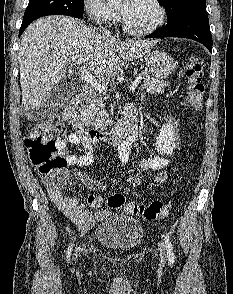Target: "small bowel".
<instances>
[{"mask_svg":"<svg viewBox=\"0 0 233 294\" xmlns=\"http://www.w3.org/2000/svg\"><path fill=\"white\" fill-rule=\"evenodd\" d=\"M58 151L66 158L69 166H88L94 161V148L91 140L80 132H71L66 136H60L56 139ZM69 145H81L83 152L80 156H76L69 152ZM119 159L123 163L130 160V147L129 144H122L119 148ZM169 160L166 157L159 155L145 156L139 160L138 169L133 173L129 182L132 186H138L141 181L142 174L149 171L159 172L153 177L157 183H164L167 180L169 171L167 166ZM78 181L85 187L94 190H105L106 185L89 177L85 174H76ZM44 181L48 186V192L51 200L64 212V214L81 230L85 231L97 222L105 218L108 214L106 209H100L103 205V200L98 195H90L88 203L92 208L99 209L96 212H91L86 209L85 205L77 197L65 196L60 189L54 188L49 180L44 177Z\"/></svg>","mask_w":233,"mask_h":294,"instance_id":"small-bowel-1","label":"small bowel"}]
</instances>
